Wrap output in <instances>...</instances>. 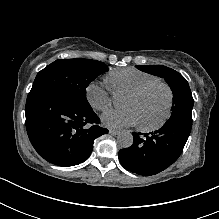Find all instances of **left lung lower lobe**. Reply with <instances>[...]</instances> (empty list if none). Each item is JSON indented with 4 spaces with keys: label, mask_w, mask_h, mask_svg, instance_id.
Returning <instances> with one entry per match:
<instances>
[{
    "label": "left lung lower lobe",
    "mask_w": 219,
    "mask_h": 219,
    "mask_svg": "<svg viewBox=\"0 0 219 219\" xmlns=\"http://www.w3.org/2000/svg\"><path fill=\"white\" fill-rule=\"evenodd\" d=\"M191 128L192 122L172 120L154 132H133V144L119 151V160L133 173L143 176L157 174L179 158Z\"/></svg>",
    "instance_id": "1"
}]
</instances>
